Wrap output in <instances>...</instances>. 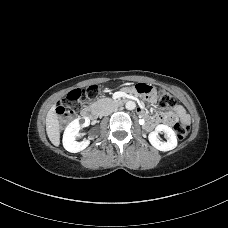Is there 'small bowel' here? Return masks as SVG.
<instances>
[{
	"label": "small bowel",
	"instance_id": "obj_1",
	"mask_svg": "<svg viewBox=\"0 0 228 228\" xmlns=\"http://www.w3.org/2000/svg\"><path fill=\"white\" fill-rule=\"evenodd\" d=\"M127 91L132 92L133 90L128 89ZM150 98L154 101L155 94L151 95ZM140 111L143 115L147 114L144 108H141ZM153 118L155 119L154 122L146 125L148 128H152L155 124L158 123L171 124L176 118L181 119L184 123L189 122L188 114L185 112L184 108L179 104H176L171 112L160 114L154 116Z\"/></svg>",
	"mask_w": 228,
	"mask_h": 228
}]
</instances>
